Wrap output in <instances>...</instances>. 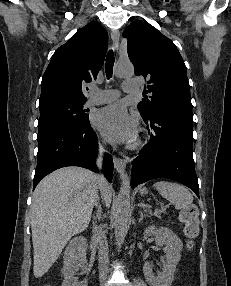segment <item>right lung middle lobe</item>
Returning a JSON list of instances; mask_svg holds the SVG:
<instances>
[{
	"instance_id": "obj_1",
	"label": "right lung middle lobe",
	"mask_w": 231,
	"mask_h": 286,
	"mask_svg": "<svg viewBox=\"0 0 231 286\" xmlns=\"http://www.w3.org/2000/svg\"><path fill=\"white\" fill-rule=\"evenodd\" d=\"M86 101H60L39 107V131L66 122H86L88 115L84 113Z\"/></svg>"
}]
</instances>
